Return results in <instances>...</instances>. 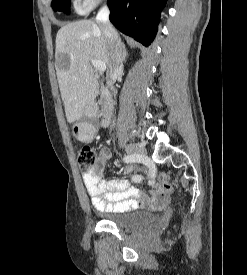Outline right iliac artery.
I'll return each instance as SVG.
<instances>
[{
    "instance_id": "1",
    "label": "right iliac artery",
    "mask_w": 247,
    "mask_h": 275,
    "mask_svg": "<svg viewBox=\"0 0 247 275\" xmlns=\"http://www.w3.org/2000/svg\"><path fill=\"white\" fill-rule=\"evenodd\" d=\"M123 160L126 163H136V162H143L144 164H147V169H149L147 180H154L155 174H157L156 164H151L152 160L149 157H146L145 154H128L123 158ZM142 180V177L140 175H134L132 176L133 182H140Z\"/></svg>"
}]
</instances>
